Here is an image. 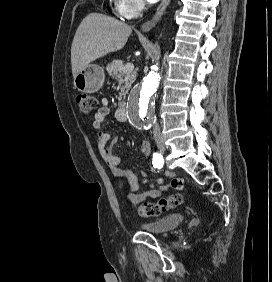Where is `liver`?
<instances>
[{"mask_svg":"<svg viewBox=\"0 0 272 282\" xmlns=\"http://www.w3.org/2000/svg\"><path fill=\"white\" fill-rule=\"evenodd\" d=\"M131 32L129 25L113 17L101 13L87 15L78 26L71 46L73 77L91 62L122 49Z\"/></svg>","mask_w":272,"mask_h":282,"instance_id":"6515ba94","label":"liver"}]
</instances>
